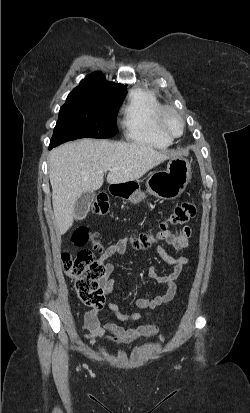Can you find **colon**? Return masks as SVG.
<instances>
[{"mask_svg":"<svg viewBox=\"0 0 250 413\" xmlns=\"http://www.w3.org/2000/svg\"><path fill=\"white\" fill-rule=\"evenodd\" d=\"M92 213L97 216H104L109 211V203L105 196H98L92 203ZM196 213L195 205L191 202H184L177 206L169 216L162 221L154 235L150 236L149 232L134 235L130 243L137 249H148L152 244L161 239L158 236L160 229H168L171 225H183L189 222ZM93 234L87 227H79L73 235V243L76 246H83L89 240L94 243V248L98 252H103V246L95 240ZM64 272L73 280L74 288L79 300L90 308H100L103 304V291L100 287V279L105 274V267L98 263L92 252L87 250L80 251L76 257H72L65 252L62 255Z\"/></svg>","mask_w":250,"mask_h":413,"instance_id":"colon-1","label":"colon"}]
</instances>
